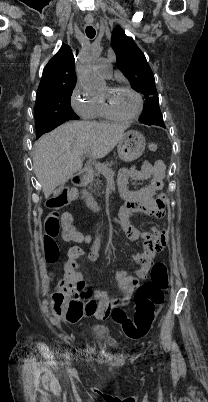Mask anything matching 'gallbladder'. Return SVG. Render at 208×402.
<instances>
[{
	"instance_id": "bac80fb5",
	"label": "gallbladder",
	"mask_w": 208,
	"mask_h": 402,
	"mask_svg": "<svg viewBox=\"0 0 208 402\" xmlns=\"http://www.w3.org/2000/svg\"><path fill=\"white\" fill-rule=\"evenodd\" d=\"M54 196H57V193H54Z\"/></svg>"
}]
</instances>
